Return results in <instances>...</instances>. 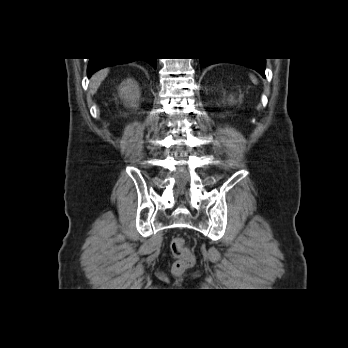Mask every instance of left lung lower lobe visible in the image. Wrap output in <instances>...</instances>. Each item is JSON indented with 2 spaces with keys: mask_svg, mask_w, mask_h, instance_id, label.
Returning <instances> with one entry per match:
<instances>
[{
  "mask_svg": "<svg viewBox=\"0 0 348 348\" xmlns=\"http://www.w3.org/2000/svg\"><path fill=\"white\" fill-rule=\"evenodd\" d=\"M219 62H229L244 65L258 71L263 77H265V59H251V58H239V59H211L201 58L200 66L210 65Z\"/></svg>",
  "mask_w": 348,
  "mask_h": 348,
  "instance_id": "0a47b994",
  "label": "left lung lower lobe"
}]
</instances>
